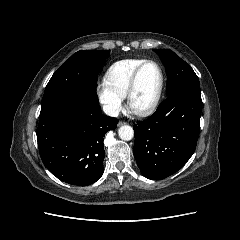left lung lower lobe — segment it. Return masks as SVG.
I'll return each mask as SVG.
<instances>
[{"mask_svg":"<svg viewBox=\"0 0 240 240\" xmlns=\"http://www.w3.org/2000/svg\"><path fill=\"white\" fill-rule=\"evenodd\" d=\"M202 99L198 90L167 97L153 115L134 125V157L142 174L161 180L183 167L195 151Z\"/></svg>","mask_w":240,"mask_h":240,"instance_id":"left-lung-lower-lobe-1","label":"left lung lower lobe"}]
</instances>
